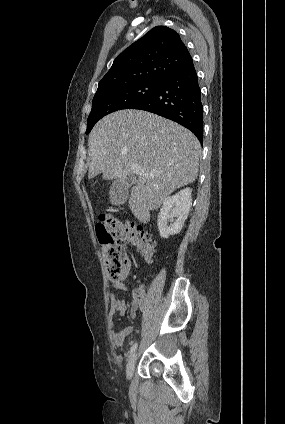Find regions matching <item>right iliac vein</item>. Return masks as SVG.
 I'll return each instance as SVG.
<instances>
[{
	"mask_svg": "<svg viewBox=\"0 0 285 424\" xmlns=\"http://www.w3.org/2000/svg\"><path fill=\"white\" fill-rule=\"evenodd\" d=\"M136 361H137V354H133L130 357L126 366V376L128 379H131L133 377Z\"/></svg>",
	"mask_w": 285,
	"mask_h": 424,
	"instance_id": "right-iliac-vein-1",
	"label": "right iliac vein"
}]
</instances>
